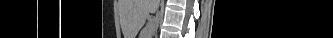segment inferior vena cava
<instances>
[{"label": "inferior vena cava", "mask_w": 333, "mask_h": 38, "mask_svg": "<svg viewBox=\"0 0 333 38\" xmlns=\"http://www.w3.org/2000/svg\"><path fill=\"white\" fill-rule=\"evenodd\" d=\"M158 23V18L155 20V24H157Z\"/></svg>", "instance_id": "1"}]
</instances>
